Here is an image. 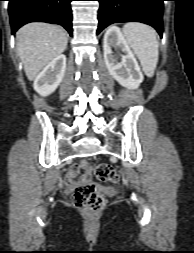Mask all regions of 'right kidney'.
I'll list each match as a JSON object with an SVG mask.
<instances>
[{
	"mask_svg": "<svg viewBox=\"0 0 194 253\" xmlns=\"http://www.w3.org/2000/svg\"><path fill=\"white\" fill-rule=\"evenodd\" d=\"M66 70V56L54 58L35 78L34 90L42 96L53 93L63 80Z\"/></svg>",
	"mask_w": 194,
	"mask_h": 253,
	"instance_id": "obj_1",
	"label": "right kidney"
}]
</instances>
